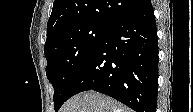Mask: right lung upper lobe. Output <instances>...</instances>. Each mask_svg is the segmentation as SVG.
Segmentation results:
<instances>
[{"label":"right lung upper lobe","mask_w":193,"mask_h":112,"mask_svg":"<svg viewBox=\"0 0 193 112\" xmlns=\"http://www.w3.org/2000/svg\"><path fill=\"white\" fill-rule=\"evenodd\" d=\"M147 0H55L47 23V40L60 30L80 23L111 26ZM46 40V41H47Z\"/></svg>","instance_id":"1"}]
</instances>
